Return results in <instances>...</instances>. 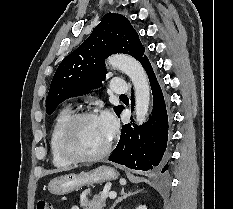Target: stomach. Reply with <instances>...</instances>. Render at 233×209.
Segmentation results:
<instances>
[{
  "label": "stomach",
  "mask_w": 233,
  "mask_h": 209,
  "mask_svg": "<svg viewBox=\"0 0 233 209\" xmlns=\"http://www.w3.org/2000/svg\"><path fill=\"white\" fill-rule=\"evenodd\" d=\"M119 173L111 167L102 166L91 171L79 174L69 173L52 179L48 184V190L54 195H64L80 190L83 186L101 184L116 180Z\"/></svg>",
  "instance_id": "obj_1"
}]
</instances>
